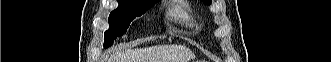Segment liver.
Instances as JSON below:
<instances>
[{"label": "liver", "mask_w": 331, "mask_h": 62, "mask_svg": "<svg viewBox=\"0 0 331 62\" xmlns=\"http://www.w3.org/2000/svg\"><path fill=\"white\" fill-rule=\"evenodd\" d=\"M194 57L184 46H152L114 54L108 62H188Z\"/></svg>", "instance_id": "1"}]
</instances>
